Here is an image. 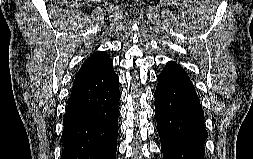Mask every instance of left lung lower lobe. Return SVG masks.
Segmentation results:
<instances>
[{
    "label": "left lung lower lobe",
    "instance_id": "left-lung-lower-lobe-1",
    "mask_svg": "<svg viewBox=\"0 0 253 159\" xmlns=\"http://www.w3.org/2000/svg\"><path fill=\"white\" fill-rule=\"evenodd\" d=\"M155 114L163 159H204V112L193 83L175 62L157 77Z\"/></svg>",
    "mask_w": 253,
    "mask_h": 159
}]
</instances>
